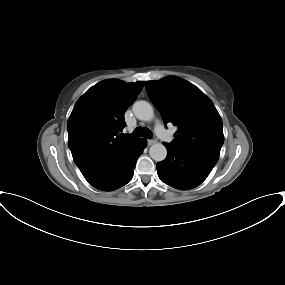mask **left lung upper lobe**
I'll return each mask as SVG.
<instances>
[{
    "label": "left lung upper lobe",
    "instance_id": "5c2ea615",
    "mask_svg": "<svg viewBox=\"0 0 285 285\" xmlns=\"http://www.w3.org/2000/svg\"><path fill=\"white\" fill-rule=\"evenodd\" d=\"M145 87L164 123L178 127L169 145L217 162L224 135L212 101L199 88L176 76L147 81Z\"/></svg>",
    "mask_w": 285,
    "mask_h": 285
}]
</instances>
